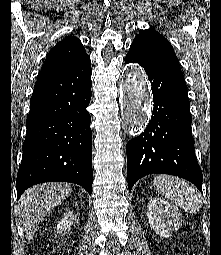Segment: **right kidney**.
I'll return each instance as SVG.
<instances>
[{"label": "right kidney", "instance_id": "obj_1", "mask_svg": "<svg viewBox=\"0 0 221 255\" xmlns=\"http://www.w3.org/2000/svg\"><path fill=\"white\" fill-rule=\"evenodd\" d=\"M74 221V215L73 212L68 211L67 213L64 214L62 220L58 222L57 224V232H68V230L71 229V225L73 224Z\"/></svg>", "mask_w": 221, "mask_h": 255}]
</instances>
